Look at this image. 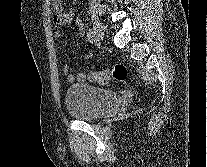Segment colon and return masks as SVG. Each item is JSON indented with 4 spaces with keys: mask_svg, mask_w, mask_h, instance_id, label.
I'll return each mask as SVG.
<instances>
[{
    "mask_svg": "<svg viewBox=\"0 0 207 167\" xmlns=\"http://www.w3.org/2000/svg\"><path fill=\"white\" fill-rule=\"evenodd\" d=\"M128 71L125 65L115 64L108 70H101L91 72L88 75V79L92 82L104 85L107 84L111 79L118 82H124L127 79Z\"/></svg>",
    "mask_w": 207,
    "mask_h": 167,
    "instance_id": "1",
    "label": "colon"
}]
</instances>
